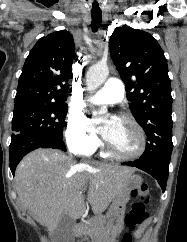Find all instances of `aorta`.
I'll use <instances>...</instances> for the list:
<instances>
[{
	"instance_id": "obj_1",
	"label": "aorta",
	"mask_w": 187,
	"mask_h": 242,
	"mask_svg": "<svg viewBox=\"0 0 187 242\" xmlns=\"http://www.w3.org/2000/svg\"><path fill=\"white\" fill-rule=\"evenodd\" d=\"M109 75V68L105 63H97L91 66L86 74L87 89L90 92L95 91L101 86ZM107 112L106 107H101L97 114H105Z\"/></svg>"
}]
</instances>
